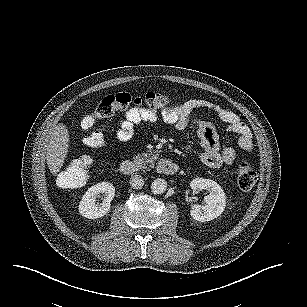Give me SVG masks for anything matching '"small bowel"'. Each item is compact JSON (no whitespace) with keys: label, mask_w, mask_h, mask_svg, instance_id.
Listing matches in <instances>:
<instances>
[{"label":"small bowel","mask_w":307,"mask_h":307,"mask_svg":"<svg viewBox=\"0 0 307 307\" xmlns=\"http://www.w3.org/2000/svg\"><path fill=\"white\" fill-rule=\"evenodd\" d=\"M199 108L214 112L225 124L226 130L238 136V145L244 151L251 152L253 150L251 131L240 117L233 111L204 99H190L165 108L161 113L142 108H131L120 120L115 138L118 142H126L132 137L134 127L137 124L154 123L160 118L177 130H184L191 125H195L203 148L202 161L212 168L233 165L236 159L234 148L232 146L221 147L214 126L193 117L194 111Z\"/></svg>","instance_id":"c3829d8e"}]
</instances>
